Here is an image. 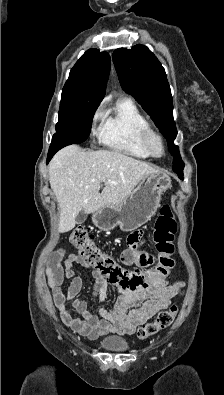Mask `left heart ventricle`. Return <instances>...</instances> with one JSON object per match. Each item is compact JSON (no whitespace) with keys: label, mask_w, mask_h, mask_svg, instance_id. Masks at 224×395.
I'll return each mask as SVG.
<instances>
[{"label":"left heart ventricle","mask_w":224,"mask_h":395,"mask_svg":"<svg viewBox=\"0 0 224 395\" xmlns=\"http://www.w3.org/2000/svg\"><path fill=\"white\" fill-rule=\"evenodd\" d=\"M152 146H153L154 150H155L157 153H161V145H160L159 141L153 140Z\"/></svg>","instance_id":"left-heart-ventricle-1"}]
</instances>
